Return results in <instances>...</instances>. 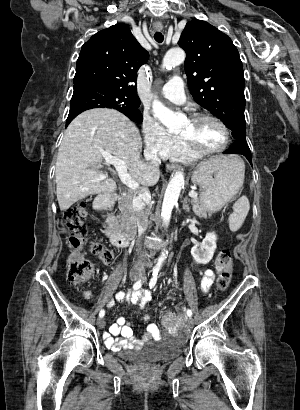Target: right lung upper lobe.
Returning <instances> with one entry per match:
<instances>
[{
	"mask_svg": "<svg viewBox=\"0 0 300 410\" xmlns=\"http://www.w3.org/2000/svg\"><path fill=\"white\" fill-rule=\"evenodd\" d=\"M149 58L125 24L93 35L81 48L74 84L89 83L119 92L133 106L140 105L136 73Z\"/></svg>",
	"mask_w": 300,
	"mask_h": 410,
	"instance_id": "cb5924a9",
	"label": "right lung upper lobe"
}]
</instances>
